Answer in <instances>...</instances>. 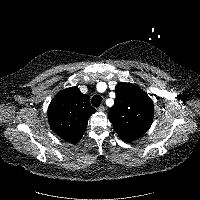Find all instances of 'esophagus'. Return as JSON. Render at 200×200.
<instances>
[{
  "label": "esophagus",
  "mask_w": 200,
  "mask_h": 200,
  "mask_svg": "<svg viewBox=\"0 0 200 200\" xmlns=\"http://www.w3.org/2000/svg\"><path fill=\"white\" fill-rule=\"evenodd\" d=\"M98 111L99 112H104L105 111V107L102 105V106H99L98 107Z\"/></svg>",
  "instance_id": "obj_1"
}]
</instances>
